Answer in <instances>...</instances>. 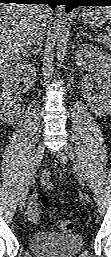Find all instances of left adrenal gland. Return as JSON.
Here are the masks:
<instances>
[{
  "instance_id": "left-adrenal-gland-1",
  "label": "left adrenal gland",
  "mask_w": 111,
  "mask_h": 257,
  "mask_svg": "<svg viewBox=\"0 0 111 257\" xmlns=\"http://www.w3.org/2000/svg\"><path fill=\"white\" fill-rule=\"evenodd\" d=\"M82 35L89 36L88 33H84V32H83V29L80 28V31H79V33H78V35H77V37H76V41H77ZM89 37H90V36H89Z\"/></svg>"
}]
</instances>
